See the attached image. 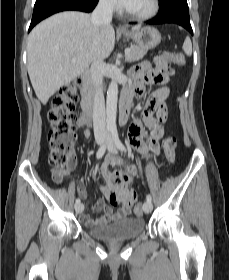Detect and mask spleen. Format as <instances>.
<instances>
[{
  "label": "spleen",
  "mask_w": 229,
  "mask_h": 280,
  "mask_svg": "<svg viewBox=\"0 0 229 280\" xmlns=\"http://www.w3.org/2000/svg\"><path fill=\"white\" fill-rule=\"evenodd\" d=\"M183 50L187 55L192 54V43L189 37H186L184 43H183Z\"/></svg>",
  "instance_id": "obj_1"
}]
</instances>
